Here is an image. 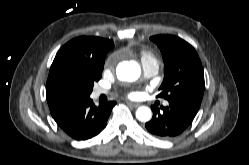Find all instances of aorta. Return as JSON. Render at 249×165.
I'll list each match as a JSON object with an SVG mask.
<instances>
[{
    "label": "aorta",
    "mask_w": 249,
    "mask_h": 165,
    "mask_svg": "<svg viewBox=\"0 0 249 165\" xmlns=\"http://www.w3.org/2000/svg\"><path fill=\"white\" fill-rule=\"evenodd\" d=\"M117 77L122 81H135L141 74L140 66L135 61H125L118 65ZM151 109L146 106H141L136 111V118L141 122H147L151 119Z\"/></svg>",
    "instance_id": "obj_1"
}]
</instances>
